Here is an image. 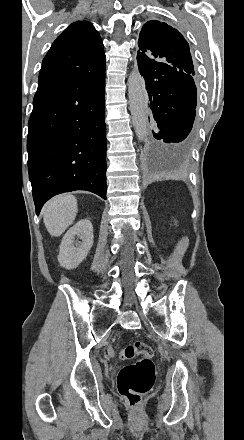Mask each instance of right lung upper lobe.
Wrapping results in <instances>:
<instances>
[{"label":"right lung upper lobe","mask_w":244,"mask_h":440,"mask_svg":"<svg viewBox=\"0 0 244 440\" xmlns=\"http://www.w3.org/2000/svg\"><path fill=\"white\" fill-rule=\"evenodd\" d=\"M103 47L99 33L90 22L72 23L57 37L43 59L38 81L104 65Z\"/></svg>","instance_id":"cb5924a9"}]
</instances>
